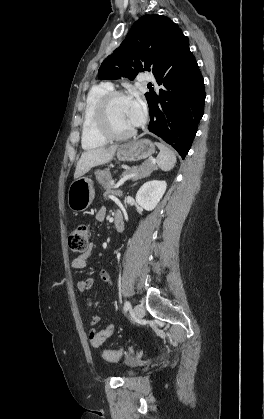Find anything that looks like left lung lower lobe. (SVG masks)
<instances>
[{
	"label": "left lung lower lobe",
	"instance_id": "left-lung-lower-lobe-1",
	"mask_svg": "<svg viewBox=\"0 0 264 419\" xmlns=\"http://www.w3.org/2000/svg\"><path fill=\"white\" fill-rule=\"evenodd\" d=\"M160 88L146 94L149 131L172 145L184 159L203 116L205 90L202 74L183 33L166 48L157 72Z\"/></svg>",
	"mask_w": 264,
	"mask_h": 419
}]
</instances>
